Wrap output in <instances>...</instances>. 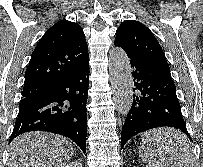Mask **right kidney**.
Returning <instances> with one entry per match:
<instances>
[{"label":"right kidney","mask_w":203,"mask_h":167,"mask_svg":"<svg viewBox=\"0 0 203 167\" xmlns=\"http://www.w3.org/2000/svg\"><path fill=\"white\" fill-rule=\"evenodd\" d=\"M66 167H82V164L79 161H73L66 165Z\"/></svg>","instance_id":"obj_1"}]
</instances>
